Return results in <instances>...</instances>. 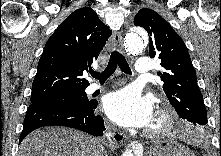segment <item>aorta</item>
Returning <instances> with one entry per match:
<instances>
[{
	"mask_svg": "<svg viewBox=\"0 0 221 156\" xmlns=\"http://www.w3.org/2000/svg\"><path fill=\"white\" fill-rule=\"evenodd\" d=\"M147 44L148 35L141 28H131L125 35L124 46L129 54H138ZM122 156H142V150L139 148L135 151L132 148H128Z\"/></svg>",
	"mask_w": 221,
	"mask_h": 156,
	"instance_id": "aorta-1",
	"label": "aorta"
}]
</instances>
